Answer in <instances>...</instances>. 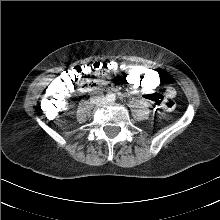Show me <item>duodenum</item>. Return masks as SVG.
<instances>
[{
	"mask_svg": "<svg viewBox=\"0 0 220 220\" xmlns=\"http://www.w3.org/2000/svg\"><path fill=\"white\" fill-rule=\"evenodd\" d=\"M80 88H81L82 90L89 91V90H92V89H94V88H96V87L87 86V85H85L84 82H83V83H81Z\"/></svg>",
	"mask_w": 220,
	"mask_h": 220,
	"instance_id": "duodenum-1",
	"label": "duodenum"
}]
</instances>
